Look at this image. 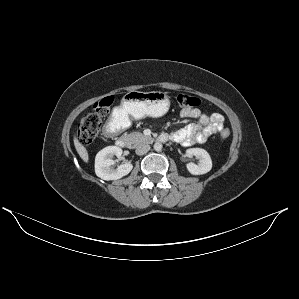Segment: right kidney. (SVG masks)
Wrapping results in <instances>:
<instances>
[{
    "mask_svg": "<svg viewBox=\"0 0 299 299\" xmlns=\"http://www.w3.org/2000/svg\"><path fill=\"white\" fill-rule=\"evenodd\" d=\"M122 149L117 146H108L100 150L95 157V173L103 180H117L130 173L133 168L131 163H125L112 169L114 160L112 157L115 155L120 157L122 155Z\"/></svg>",
    "mask_w": 299,
    "mask_h": 299,
    "instance_id": "1",
    "label": "right kidney"
}]
</instances>
